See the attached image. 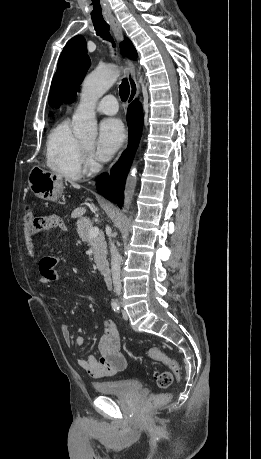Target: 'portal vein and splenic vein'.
<instances>
[{
	"label": "portal vein and splenic vein",
	"mask_w": 261,
	"mask_h": 459,
	"mask_svg": "<svg viewBox=\"0 0 261 459\" xmlns=\"http://www.w3.org/2000/svg\"><path fill=\"white\" fill-rule=\"evenodd\" d=\"M99 234V228L97 226L95 227H92L89 231V237L92 239V238H95L96 236H98Z\"/></svg>",
	"instance_id": "18ae733b"
}]
</instances>
